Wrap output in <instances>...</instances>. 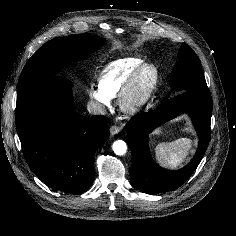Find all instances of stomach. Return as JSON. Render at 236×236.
Returning a JSON list of instances; mask_svg holds the SVG:
<instances>
[{
    "mask_svg": "<svg viewBox=\"0 0 236 236\" xmlns=\"http://www.w3.org/2000/svg\"><path fill=\"white\" fill-rule=\"evenodd\" d=\"M161 133H162L161 128H158L153 132V135H160Z\"/></svg>",
    "mask_w": 236,
    "mask_h": 236,
    "instance_id": "0dacf381",
    "label": "stomach"
}]
</instances>
